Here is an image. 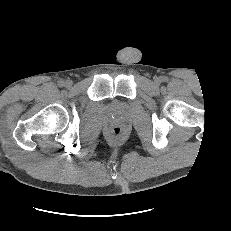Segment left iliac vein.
Here are the masks:
<instances>
[{
	"label": "left iliac vein",
	"instance_id": "1",
	"mask_svg": "<svg viewBox=\"0 0 231 231\" xmlns=\"http://www.w3.org/2000/svg\"><path fill=\"white\" fill-rule=\"evenodd\" d=\"M160 82H161L160 78L156 77V78H155V83H156V84H159Z\"/></svg>",
	"mask_w": 231,
	"mask_h": 231
}]
</instances>
